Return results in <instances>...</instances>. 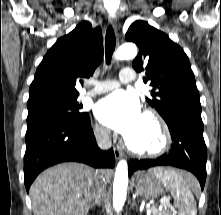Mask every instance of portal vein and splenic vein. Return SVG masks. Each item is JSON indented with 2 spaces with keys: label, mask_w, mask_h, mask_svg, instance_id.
Masks as SVG:
<instances>
[{
  "label": "portal vein and splenic vein",
  "mask_w": 221,
  "mask_h": 215,
  "mask_svg": "<svg viewBox=\"0 0 221 215\" xmlns=\"http://www.w3.org/2000/svg\"><path fill=\"white\" fill-rule=\"evenodd\" d=\"M169 205H170V204H169V201H168V200H164V201L161 203V206H165V207H166V206H169ZM172 211L175 212V213L177 212L175 209H173ZM147 213H148V215H150L151 210H148Z\"/></svg>",
  "instance_id": "obj_1"
}]
</instances>
